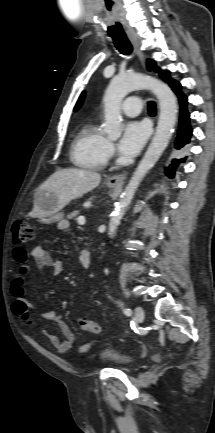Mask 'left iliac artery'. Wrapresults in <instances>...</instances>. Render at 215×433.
Instances as JSON below:
<instances>
[{
  "label": "left iliac artery",
  "instance_id": "1",
  "mask_svg": "<svg viewBox=\"0 0 215 433\" xmlns=\"http://www.w3.org/2000/svg\"><path fill=\"white\" fill-rule=\"evenodd\" d=\"M124 313H125V315L130 316L132 314V311L129 308H125Z\"/></svg>",
  "mask_w": 215,
  "mask_h": 433
}]
</instances>
